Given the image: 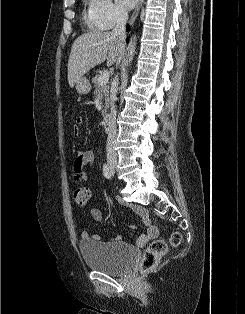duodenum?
<instances>
[{
	"mask_svg": "<svg viewBox=\"0 0 245 314\" xmlns=\"http://www.w3.org/2000/svg\"><path fill=\"white\" fill-rule=\"evenodd\" d=\"M102 125L105 131H110L111 129V115L107 113L102 121Z\"/></svg>",
	"mask_w": 245,
	"mask_h": 314,
	"instance_id": "duodenum-1",
	"label": "duodenum"
}]
</instances>
